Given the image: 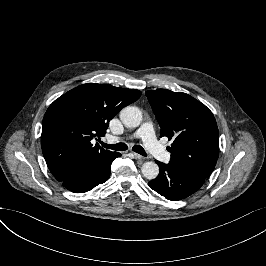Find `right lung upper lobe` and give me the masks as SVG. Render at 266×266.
<instances>
[{
    "mask_svg": "<svg viewBox=\"0 0 266 266\" xmlns=\"http://www.w3.org/2000/svg\"><path fill=\"white\" fill-rule=\"evenodd\" d=\"M140 96L139 90L88 83L56 99L44 115L41 135L42 152L54 177L62 182L80 163L111 154L90 141L104 136L109 121Z\"/></svg>",
    "mask_w": 266,
    "mask_h": 266,
    "instance_id": "obj_1",
    "label": "right lung upper lobe"
}]
</instances>
